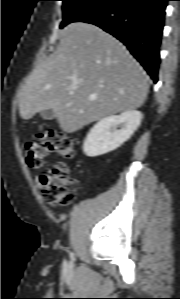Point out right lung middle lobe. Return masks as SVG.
<instances>
[{
	"mask_svg": "<svg viewBox=\"0 0 180 299\" xmlns=\"http://www.w3.org/2000/svg\"><path fill=\"white\" fill-rule=\"evenodd\" d=\"M63 21L60 28L74 22L83 13L100 3L102 0H62Z\"/></svg>",
	"mask_w": 180,
	"mask_h": 299,
	"instance_id": "obj_1",
	"label": "right lung middle lobe"
}]
</instances>
